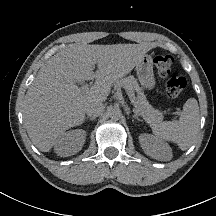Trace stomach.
<instances>
[{
    "label": "stomach",
    "instance_id": "stomach-1",
    "mask_svg": "<svg viewBox=\"0 0 216 216\" xmlns=\"http://www.w3.org/2000/svg\"><path fill=\"white\" fill-rule=\"evenodd\" d=\"M138 80L145 89H153L156 81L153 72V59L150 55H144L143 59L136 65Z\"/></svg>",
    "mask_w": 216,
    "mask_h": 216
}]
</instances>
